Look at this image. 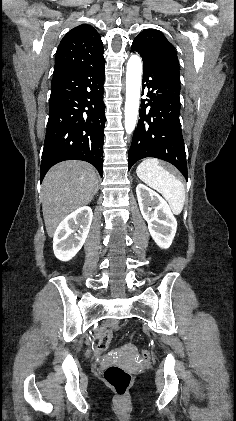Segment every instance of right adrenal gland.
<instances>
[{"mask_svg": "<svg viewBox=\"0 0 236 421\" xmlns=\"http://www.w3.org/2000/svg\"><path fill=\"white\" fill-rule=\"evenodd\" d=\"M97 190H99V184H97L96 192H97Z\"/></svg>", "mask_w": 236, "mask_h": 421, "instance_id": "1", "label": "right adrenal gland"}]
</instances>
